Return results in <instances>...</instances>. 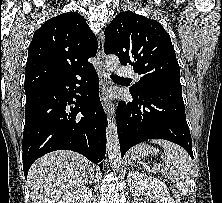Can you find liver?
Returning a JSON list of instances; mask_svg holds the SVG:
<instances>
[{
    "label": "liver",
    "mask_w": 222,
    "mask_h": 203,
    "mask_svg": "<svg viewBox=\"0 0 222 203\" xmlns=\"http://www.w3.org/2000/svg\"><path fill=\"white\" fill-rule=\"evenodd\" d=\"M90 167L87 158L67 150L39 158L28 172L32 203H61L68 194L87 183Z\"/></svg>",
    "instance_id": "obj_1"
}]
</instances>
